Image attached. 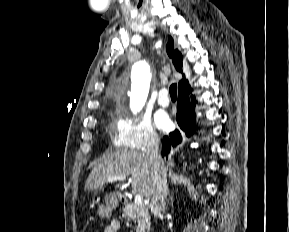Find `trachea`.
Masks as SVG:
<instances>
[{"label": "trachea", "instance_id": "obj_1", "mask_svg": "<svg viewBox=\"0 0 289 232\" xmlns=\"http://www.w3.org/2000/svg\"><path fill=\"white\" fill-rule=\"evenodd\" d=\"M169 93L171 98H177V85L172 84L169 88Z\"/></svg>", "mask_w": 289, "mask_h": 232}]
</instances>
